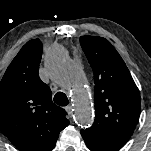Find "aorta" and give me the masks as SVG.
<instances>
[{"instance_id":"obj_1","label":"aorta","mask_w":151,"mask_h":151,"mask_svg":"<svg viewBox=\"0 0 151 151\" xmlns=\"http://www.w3.org/2000/svg\"><path fill=\"white\" fill-rule=\"evenodd\" d=\"M48 68L54 77L73 85L71 96L74 103L75 119L80 126H89L92 122L93 114L88 93L76 81V66L68 60L62 47L55 46L52 48L49 54Z\"/></svg>"}]
</instances>
